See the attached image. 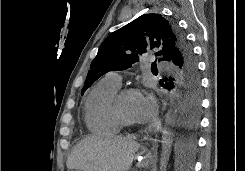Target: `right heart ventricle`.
Instances as JSON below:
<instances>
[{"label":"right heart ventricle","instance_id":"right-heart-ventricle-1","mask_svg":"<svg viewBox=\"0 0 245 171\" xmlns=\"http://www.w3.org/2000/svg\"><path fill=\"white\" fill-rule=\"evenodd\" d=\"M119 87L100 80L90 91L84 106V119L90 132L112 135L119 132L121 125L112 111V101Z\"/></svg>","mask_w":245,"mask_h":171}]
</instances>
